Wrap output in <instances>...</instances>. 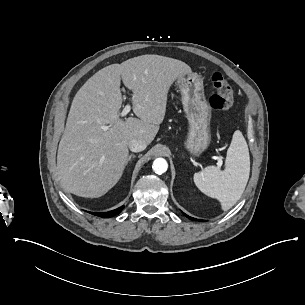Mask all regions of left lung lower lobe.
<instances>
[{
  "label": "left lung lower lobe",
  "instance_id": "0a47b994",
  "mask_svg": "<svg viewBox=\"0 0 305 305\" xmlns=\"http://www.w3.org/2000/svg\"><path fill=\"white\" fill-rule=\"evenodd\" d=\"M187 218H189L190 220H195V221H197L198 219H195V218H192V217H190V216H188V215H186L185 213H183ZM198 221H202V220H198Z\"/></svg>",
  "mask_w": 305,
  "mask_h": 305
}]
</instances>
